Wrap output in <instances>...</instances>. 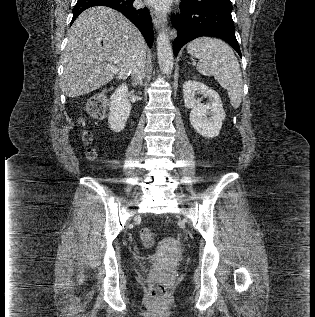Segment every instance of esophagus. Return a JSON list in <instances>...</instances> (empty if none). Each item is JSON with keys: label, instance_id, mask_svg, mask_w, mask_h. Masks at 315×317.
Listing matches in <instances>:
<instances>
[{"label": "esophagus", "instance_id": "1", "mask_svg": "<svg viewBox=\"0 0 315 317\" xmlns=\"http://www.w3.org/2000/svg\"><path fill=\"white\" fill-rule=\"evenodd\" d=\"M151 16L156 29H160L167 25V19L161 13L151 9ZM172 36H175V32H170Z\"/></svg>", "mask_w": 315, "mask_h": 317}]
</instances>
